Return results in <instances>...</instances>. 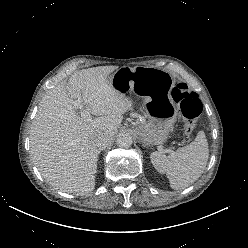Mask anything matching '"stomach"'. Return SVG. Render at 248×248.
I'll use <instances>...</instances> for the list:
<instances>
[{
    "mask_svg": "<svg viewBox=\"0 0 248 248\" xmlns=\"http://www.w3.org/2000/svg\"><path fill=\"white\" fill-rule=\"evenodd\" d=\"M113 87L122 94L136 92L145 102V119L135 125L140 142L150 147L166 142L178 116L171 99L173 79L154 67H121L110 76Z\"/></svg>",
    "mask_w": 248,
    "mask_h": 248,
    "instance_id": "1",
    "label": "stomach"
}]
</instances>
